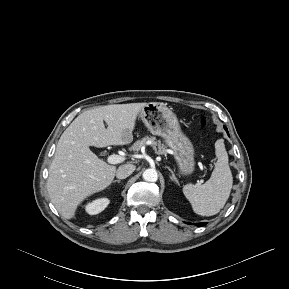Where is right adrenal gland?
<instances>
[{"label":"right adrenal gland","instance_id":"2a0ac1e0","mask_svg":"<svg viewBox=\"0 0 289 289\" xmlns=\"http://www.w3.org/2000/svg\"><path fill=\"white\" fill-rule=\"evenodd\" d=\"M116 182H117V183H120L121 180H114V181H113V183H116Z\"/></svg>","mask_w":289,"mask_h":289}]
</instances>
